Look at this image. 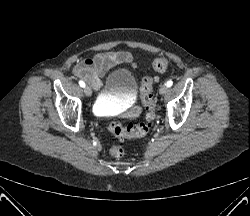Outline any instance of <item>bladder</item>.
<instances>
[{"label":"bladder","mask_w":250,"mask_h":216,"mask_svg":"<svg viewBox=\"0 0 250 216\" xmlns=\"http://www.w3.org/2000/svg\"><path fill=\"white\" fill-rule=\"evenodd\" d=\"M137 92V80L126 69H116L110 72L104 82L96 103L95 111L102 114L112 109L119 100L133 98Z\"/></svg>","instance_id":"31cf9c89"}]
</instances>
